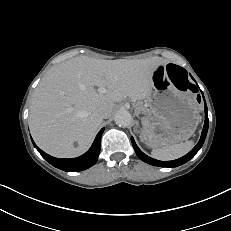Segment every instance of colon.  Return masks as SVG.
I'll return each mask as SVG.
<instances>
[{
	"instance_id": "1",
	"label": "colon",
	"mask_w": 231,
	"mask_h": 231,
	"mask_svg": "<svg viewBox=\"0 0 231 231\" xmlns=\"http://www.w3.org/2000/svg\"><path fill=\"white\" fill-rule=\"evenodd\" d=\"M167 72L172 83L177 89L185 93L193 90V84L188 79V75L183 68L175 64H169L167 66Z\"/></svg>"
}]
</instances>
